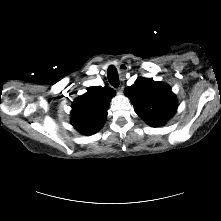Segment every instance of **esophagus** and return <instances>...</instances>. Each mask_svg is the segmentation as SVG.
<instances>
[{
	"label": "esophagus",
	"instance_id": "obj_1",
	"mask_svg": "<svg viewBox=\"0 0 221 221\" xmlns=\"http://www.w3.org/2000/svg\"><path fill=\"white\" fill-rule=\"evenodd\" d=\"M122 66H124V65H122ZM125 66H126V65H125ZM125 71H126V69H122V72H125ZM123 89H124L123 86H120V87L118 88L119 92H122Z\"/></svg>",
	"mask_w": 221,
	"mask_h": 221
}]
</instances>
